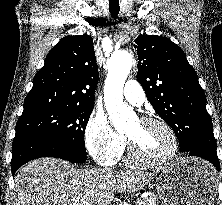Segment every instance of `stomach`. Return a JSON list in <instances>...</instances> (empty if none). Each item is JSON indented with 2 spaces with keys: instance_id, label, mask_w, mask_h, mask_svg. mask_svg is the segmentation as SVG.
Masks as SVG:
<instances>
[{
  "instance_id": "stomach-1",
  "label": "stomach",
  "mask_w": 222,
  "mask_h": 205,
  "mask_svg": "<svg viewBox=\"0 0 222 205\" xmlns=\"http://www.w3.org/2000/svg\"><path fill=\"white\" fill-rule=\"evenodd\" d=\"M213 168L197 158H180L161 169L156 189L163 205H211L217 185Z\"/></svg>"
}]
</instances>
